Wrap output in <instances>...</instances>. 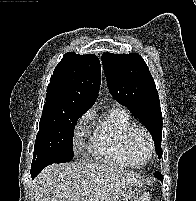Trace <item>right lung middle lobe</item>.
Wrapping results in <instances>:
<instances>
[{"mask_svg":"<svg viewBox=\"0 0 196 201\" xmlns=\"http://www.w3.org/2000/svg\"><path fill=\"white\" fill-rule=\"evenodd\" d=\"M84 112L74 109L62 114L41 116L31 171L40 172L52 163L73 159V129Z\"/></svg>","mask_w":196,"mask_h":201,"instance_id":"right-lung-middle-lobe-1","label":"right lung middle lobe"}]
</instances>
